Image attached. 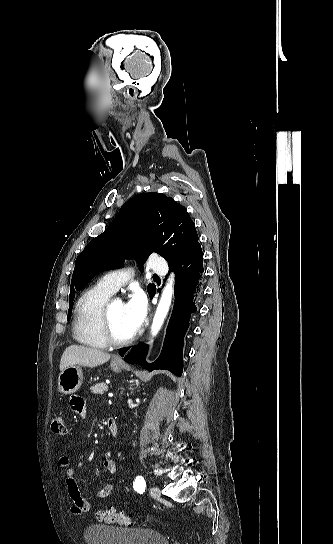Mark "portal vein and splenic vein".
Returning <instances> with one entry per match:
<instances>
[{
	"mask_svg": "<svg viewBox=\"0 0 333 544\" xmlns=\"http://www.w3.org/2000/svg\"><path fill=\"white\" fill-rule=\"evenodd\" d=\"M108 397L109 398L113 397V393H108Z\"/></svg>",
	"mask_w": 333,
	"mask_h": 544,
	"instance_id": "portal-vein-and-splenic-vein-1",
	"label": "portal vein and splenic vein"
}]
</instances>
